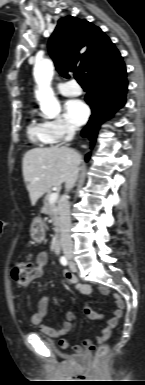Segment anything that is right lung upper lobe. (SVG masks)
<instances>
[{"label": "right lung upper lobe", "mask_w": 145, "mask_h": 385, "mask_svg": "<svg viewBox=\"0 0 145 385\" xmlns=\"http://www.w3.org/2000/svg\"><path fill=\"white\" fill-rule=\"evenodd\" d=\"M48 49L63 76L77 70L85 80L112 71L122 62L119 51L100 28L72 16L58 21Z\"/></svg>", "instance_id": "obj_1"}]
</instances>
